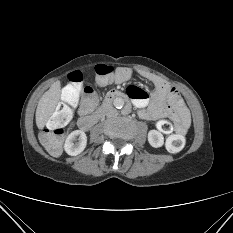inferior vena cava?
I'll list each match as a JSON object with an SVG mask.
<instances>
[{
    "label": "inferior vena cava",
    "instance_id": "obj_1",
    "mask_svg": "<svg viewBox=\"0 0 233 233\" xmlns=\"http://www.w3.org/2000/svg\"><path fill=\"white\" fill-rule=\"evenodd\" d=\"M105 113L108 118H113L118 115L117 110L111 105L107 106Z\"/></svg>",
    "mask_w": 233,
    "mask_h": 233
}]
</instances>
